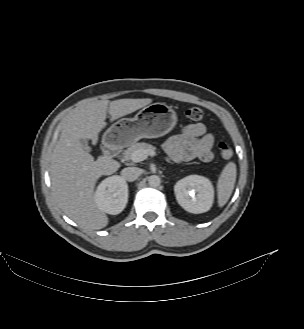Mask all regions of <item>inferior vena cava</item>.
Returning a JSON list of instances; mask_svg holds the SVG:
<instances>
[{
    "label": "inferior vena cava",
    "mask_w": 304,
    "mask_h": 329,
    "mask_svg": "<svg viewBox=\"0 0 304 329\" xmlns=\"http://www.w3.org/2000/svg\"><path fill=\"white\" fill-rule=\"evenodd\" d=\"M139 175L140 170L137 167H126L121 171V177L129 182L136 180Z\"/></svg>",
    "instance_id": "inferior-vena-cava-1"
}]
</instances>
